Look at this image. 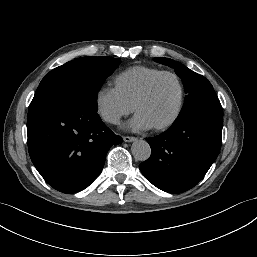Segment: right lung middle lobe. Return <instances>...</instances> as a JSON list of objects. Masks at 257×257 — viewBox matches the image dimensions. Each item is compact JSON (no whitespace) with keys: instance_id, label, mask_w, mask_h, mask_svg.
<instances>
[{"instance_id":"right-lung-middle-lobe-1","label":"right lung middle lobe","mask_w":257,"mask_h":257,"mask_svg":"<svg viewBox=\"0 0 257 257\" xmlns=\"http://www.w3.org/2000/svg\"><path fill=\"white\" fill-rule=\"evenodd\" d=\"M119 64L120 59L112 57H83L67 62L42 79L30 106L69 101L98 111V91Z\"/></svg>"}]
</instances>
